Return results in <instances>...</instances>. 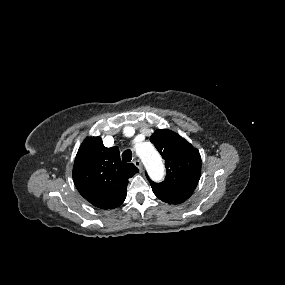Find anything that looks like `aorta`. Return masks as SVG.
Instances as JSON below:
<instances>
[{"label": "aorta", "mask_w": 285, "mask_h": 285, "mask_svg": "<svg viewBox=\"0 0 285 285\" xmlns=\"http://www.w3.org/2000/svg\"><path fill=\"white\" fill-rule=\"evenodd\" d=\"M136 152L143 161L150 178L160 182L164 178V165L159 153L151 143L142 142L136 146Z\"/></svg>", "instance_id": "1"}]
</instances>
